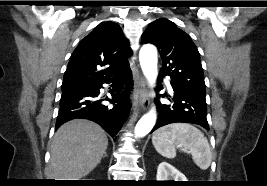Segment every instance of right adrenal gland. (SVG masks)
Wrapping results in <instances>:
<instances>
[{
    "instance_id": "1",
    "label": "right adrenal gland",
    "mask_w": 267,
    "mask_h": 186,
    "mask_svg": "<svg viewBox=\"0 0 267 186\" xmlns=\"http://www.w3.org/2000/svg\"><path fill=\"white\" fill-rule=\"evenodd\" d=\"M104 157H107V153L104 154L103 158H104Z\"/></svg>"
}]
</instances>
